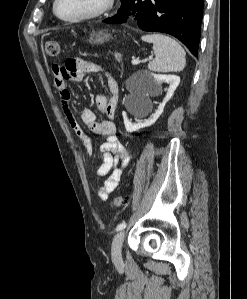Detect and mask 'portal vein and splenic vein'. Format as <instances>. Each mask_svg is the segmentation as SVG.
<instances>
[{"instance_id":"1","label":"portal vein and splenic vein","mask_w":247,"mask_h":299,"mask_svg":"<svg viewBox=\"0 0 247 299\" xmlns=\"http://www.w3.org/2000/svg\"><path fill=\"white\" fill-rule=\"evenodd\" d=\"M149 59H152V58H149ZM139 63H140V60H139V59H135V58L132 59V64H133V65H137V64H139Z\"/></svg>"}]
</instances>
